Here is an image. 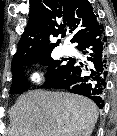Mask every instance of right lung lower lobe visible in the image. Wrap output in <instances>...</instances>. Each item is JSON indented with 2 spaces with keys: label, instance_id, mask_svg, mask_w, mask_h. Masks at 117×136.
Masks as SVG:
<instances>
[{
  "label": "right lung lower lobe",
  "instance_id": "obj_1",
  "mask_svg": "<svg viewBox=\"0 0 117 136\" xmlns=\"http://www.w3.org/2000/svg\"><path fill=\"white\" fill-rule=\"evenodd\" d=\"M77 49L87 56L83 64L70 59L63 68L47 80L42 88L65 89L92 99L99 108L104 106L103 94L108 77L107 44L104 27L97 25L77 41Z\"/></svg>",
  "mask_w": 117,
  "mask_h": 136
}]
</instances>
